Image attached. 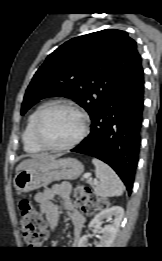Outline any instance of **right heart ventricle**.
I'll return each instance as SVG.
<instances>
[{
    "instance_id": "e07e8e85",
    "label": "right heart ventricle",
    "mask_w": 162,
    "mask_h": 261,
    "mask_svg": "<svg viewBox=\"0 0 162 261\" xmlns=\"http://www.w3.org/2000/svg\"><path fill=\"white\" fill-rule=\"evenodd\" d=\"M49 105V103H42L35 108V110L29 115L26 127L23 132V144L26 152L30 154H38L43 152V149L37 145L34 139V127L36 119L39 113Z\"/></svg>"
}]
</instances>
